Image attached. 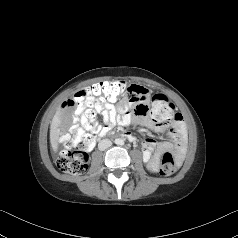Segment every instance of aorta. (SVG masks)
I'll return each instance as SVG.
<instances>
[{
	"instance_id": "aorta-1",
	"label": "aorta",
	"mask_w": 238,
	"mask_h": 238,
	"mask_svg": "<svg viewBox=\"0 0 238 238\" xmlns=\"http://www.w3.org/2000/svg\"><path fill=\"white\" fill-rule=\"evenodd\" d=\"M115 143H116L117 145H122V144H123V140H122V139H116V140H115Z\"/></svg>"
}]
</instances>
